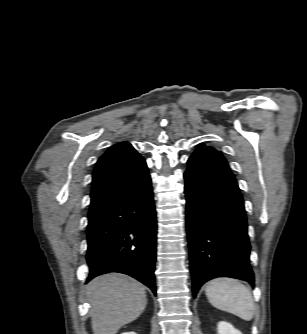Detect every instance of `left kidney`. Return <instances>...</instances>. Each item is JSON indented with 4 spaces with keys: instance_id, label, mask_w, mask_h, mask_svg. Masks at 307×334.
<instances>
[{
    "instance_id": "5707ae66",
    "label": "left kidney",
    "mask_w": 307,
    "mask_h": 334,
    "mask_svg": "<svg viewBox=\"0 0 307 334\" xmlns=\"http://www.w3.org/2000/svg\"><path fill=\"white\" fill-rule=\"evenodd\" d=\"M218 334H242L239 330L235 329L230 323L220 321L217 325Z\"/></svg>"
}]
</instances>
